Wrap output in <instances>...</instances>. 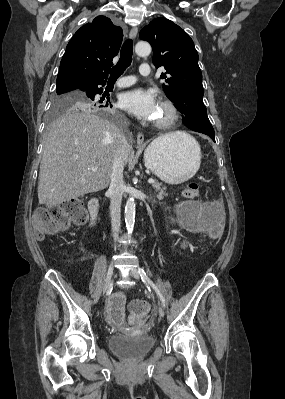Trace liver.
Masks as SVG:
<instances>
[{"instance_id": "obj_1", "label": "liver", "mask_w": 285, "mask_h": 399, "mask_svg": "<svg viewBox=\"0 0 285 399\" xmlns=\"http://www.w3.org/2000/svg\"><path fill=\"white\" fill-rule=\"evenodd\" d=\"M122 136L114 124L90 111L74 108L53 122L43 146L39 204L56 206L108 187ZM162 137L181 139L185 133L177 131ZM132 152L127 143L125 163Z\"/></svg>"}]
</instances>
